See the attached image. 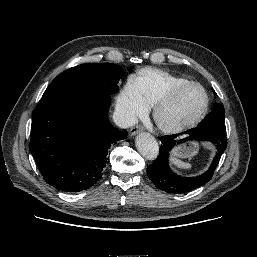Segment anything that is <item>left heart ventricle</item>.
I'll use <instances>...</instances> for the list:
<instances>
[{
	"label": "left heart ventricle",
	"instance_id": "b2bd125f",
	"mask_svg": "<svg viewBox=\"0 0 257 257\" xmlns=\"http://www.w3.org/2000/svg\"><path fill=\"white\" fill-rule=\"evenodd\" d=\"M204 103V94L198 87H190L180 92L162 112L169 123H180L194 117Z\"/></svg>",
	"mask_w": 257,
	"mask_h": 257
}]
</instances>
